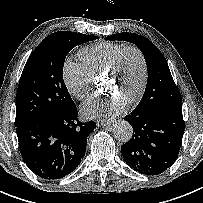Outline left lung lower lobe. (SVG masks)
<instances>
[{
  "instance_id": "left-lung-lower-lobe-1",
  "label": "left lung lower lobe",
  "mask_w": 203,
  "mask_h": 203,
  "mask_svg": "<svg viewBox=\"0 0 203 203\" xmlns=\"http://www.w3.org/2000/svg\"><path fill=\"white\" fill-rule=\"evenodd\" d=\"M132 126V138L122 145L125 162L145 175H158L176 161L184 134L181 109L155 113L134 110L124 117Z\"/></svg>"
}]
</instances>
